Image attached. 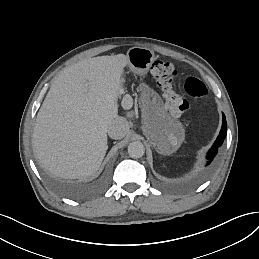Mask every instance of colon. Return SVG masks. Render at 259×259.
<instances>
[{
    "label": "colon",
    "mask_w": 259,
    "mask_h": 259,
    "mask_svg": "<svg viewBox=\"0 0 259 259\" xmlns=\"http://www.w3.org/2000/svg\"><path fill=\"white\" fill-rule=\"evenodd\" d=\"M151 74L163 92L170 114L174 117L184 115L189 109V103L174 87V78L177 74L175 66L170 62L156 61L151 67ZM183 89L187 96L197 100L205 99L208 94L206 85L196 76L187 78Z\"/></svg>",
    "instance_id": "1"
}]
</instances>
